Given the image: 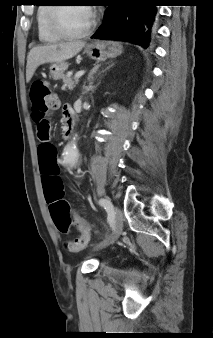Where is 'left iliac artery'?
<instances>
[{
	"mask_svg": "<svg viewBox=\"0 0 213 338\" xmlns=\"http://www.w3.org/2000/svg\"><path fill=\"white\" fill-rule=\"evenodd\" d=\"M99 204L104 207V209L107 211L108 213V220L112 221L114 219V209H113V205L110 202V200L106 199V198H101L99 200Z\"/></svg>",
	"mask_w": 213,
	"mask_h": 338,
	"instance_id": "44dca946",
	"label": "left iliac artery"
}]
</instances>
